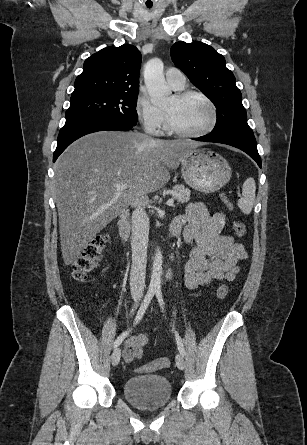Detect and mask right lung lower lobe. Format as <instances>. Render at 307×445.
<instances>
[{"instance_id": "obj_1", "label": "right lung lower lobe", "mask_w": 307, "mask_h": 445, "mask_svg": "<svg viewBox=\"0 0 307 445\" xmlns=\"http://www.w3.org/2000/svg\"><path fill=\"white\" fill-rule=\"evenodd\" d=\"M134 126L131 123L108 117H81L66 120L58 135L53 162L72 142L86 134L97 131H125Z\"/></svg>"}]
</instances>
